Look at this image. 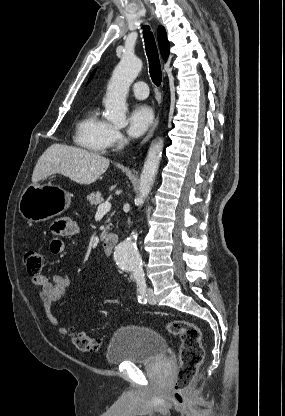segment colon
I'll return each instance as SVG.
<instances>
[{
    "label": "colon",
    "mask_w": 285,
    "mask_h": 416,
    "mask_svg": "<svg viewBox=\"0 0 285 416\" xmlns=\"http://www.w3.org/2000/svg\"><path fill=\"white\" fill-rule=\"evenodd\" d=\"M44 262V255L38 251L29 250L24 254V264L31 276L35 277L40 274ZM166 330L172 335L179 336L181 340L179 368L171 388V394L177 406L186 407L190 403V387L204 359L201 331L196 324L184 320L168 322ZM68 337L80 351L96 353L99 350V340L91 337L85 331H70Z\"/></svg>",
    "instance_id": "5ec220e1"
}]
</instances>
